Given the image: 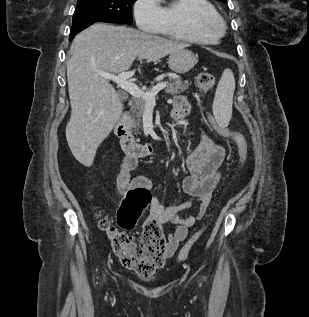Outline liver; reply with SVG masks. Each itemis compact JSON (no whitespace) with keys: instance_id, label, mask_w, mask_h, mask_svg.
Segmentation results:
<instances>
[{"instance_id":"1","label":"liver","mask_w":309,"mask_h":317,"mask_svg":"<svg viewBox=\"0 0 309 317\" xmlns=\"http://www.w3.org/2000/svg\"><path fill=\"white\" fill-rule=\"evenodd\" d=\"M189 45L126 26L95 23L73 41L67 62L71 118L66 139L73 156L90 167L100 143L119 121L123 104L98 72L119 74L136 58L155 62Z\"/></svg>"}]
</instances>
